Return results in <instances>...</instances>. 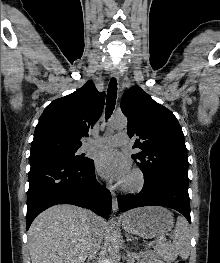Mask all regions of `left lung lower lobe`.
I'll use <instances>...</instances> for the list:
<instances>
[{"label": "left lung lower lobe", "instance_id": "1", "mask_svg": "<svg viewBox=\"0 0 220 263\" xmlns=\"http://www.w3.org/2000/svg\"><path fill=\"white\" fill-rule=\"evenodd\" d=\"M121 212L142 206H165L177 210L191 223L188 184L171 177H154L145 181L140 193L118 197Z\"/></svg>", "mask_w": 220, "mask_h": 263}]
</instances>
